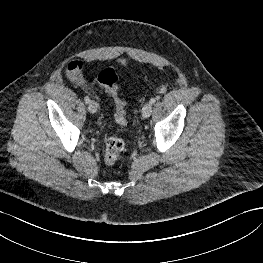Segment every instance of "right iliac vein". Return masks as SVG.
<instances>
[{
    "mask_svg": "<svg viewBox=\"0 0 263 263\" xmlns=\"http://www.w3.org/2000/svg\"><path fill=\"white\" fill-rule=\"evenodd\" d=\"M97 109H98V104H97V102H95V101H90L89 102V104H88V111L90 112V113H95L96 111H97Z\"/></svg>",
    "mask_w": 263,
    "mask_h": 263,
    "instance_id": "right-iliac-vein-1",
    "label": "right iliac vein"
}]
</instances>
